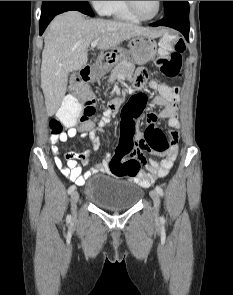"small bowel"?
I'll return each instance as SVG.
<instances>
[{
	"mask_svg": "<svg viewBox=\"0 0 233 295\" xmlns=\"http://www.w3.org/2000/svg\"><path fill=\"white\" fill-rule=\"evenodd\" d=\"M147 76V71L145 69H140L136 74V84L141 85L144 83ZM147 100L148 98L145 93L139 92L135 94L126 105L124 112H128L132 116V119L137 123ZM153 103L156 106L162 107V110L159 113L148 114L147 122L149 126H155V123L159 119H164L166 120L167 125L174 130L169 132L171 148L165 154L164 158L161 161L150 159L146 164L147 172L141 170L135 177H133V181L142 187H149L157 179L165 177L171 170L178 154L179 133L176 130L180 127L178 119L179 95L169 98L158 94L154 97ZM111 117L112 111L108 109L103 113L96 127H85L82 123L78 126L71 124L67 131L51 137V151L54 154L57 167L65 177L75 182L77 185H83L87 178L98 172L111 174L109 168L111 156L106 154L95 167L82 174V167L79 164V161H81L82 165H87L90 161L91 151H69L62 157L59 153V147L66 144L70 138L76 137L77 134L81 132L82 137H88L90 139L93 150H97L100 146V139L97 136V133L110 125ZM63 160L66 161L65 164Z\"/></svg>",
	"mask_w": 233,
	"mask_h": 295,
	"instance_id": "c3829d8e",
	"label": "small bowel"
}]
</instances>
